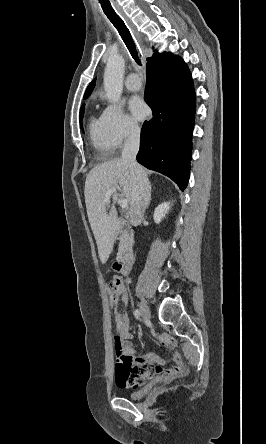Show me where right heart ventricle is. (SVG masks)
I'll return each instance as SVG.
<instances>
[{
    "instance_id": "e07e8e85",
    "label": "right heart ventricle",
    "mask_w": 266,
    "mask_h": 444,
    "mask_svg": "<svg viewBox=\"0 0 266 444\" xmlns=\"http://www.w3.org/2000/svg\"><path fill=\"white\" fill-rule=\"evenodd\" d=\"M89 137L93 148L103 157L112 154L113 147L106 134L102 117L92 116L88 124Z\"/></svg>"
}]
</instances>
